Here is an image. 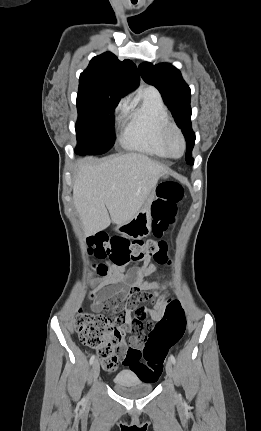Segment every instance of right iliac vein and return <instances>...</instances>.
Returning <instances> with one entry per match:
<instances>
[{"mask_svg":"<svg viewBox=\"0 0 261 431\" xmlns=\"http://www.w3.org/2000/svg\"><path fill=\"white\" fill-rule=\"evenodd\" d=\"M99 371H100V364H99V361L96 360V361H94L93 366H92V380H93V383L96 382V380H97V378L99 376Z\"/></svg>","mask_w":261,"mask_h":431,"instance_id":"63e3f726","label":"right iliac vein"}]
</instances>
